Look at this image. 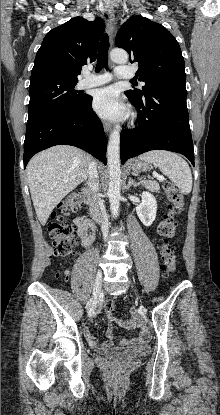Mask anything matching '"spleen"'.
<instances>
[{
	"mask_svg": "<svg viewBox=\"0 0 220 415\" xmlns=\"http://www.w3.org/2000/svg\"><path fill=\"white\" fill-rule=\"evenodd\" d=\"M139 160L157 166L183 194L187 195L191 192V170L187 162L179 155L170 151L154 150L140 155Z\"/></svg>",
	"mask_w": 220,
	"mask_h": 415,
	"instance_id": "1",
	"label": "spleen"
}]
</instances>
